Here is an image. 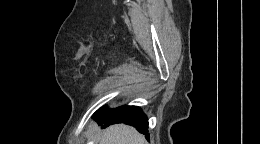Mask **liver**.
<instances>
[{
    "mask_svg": "<svg viewBox=\"0 0 260 144\" xmlns=\"http://www.w3.org/2000/svg\"><path fill=\"white\" fill-rule=\"evenodd\" d=\"M94 131L99 136V144H146L144 136L128 125L116 124L104 131L95 127Z\"/></svg>",
    "mask_w": 260,
    "mask_h": 144,
    "instance_id": "1",
    "label": "liver"
}]
</instances>
